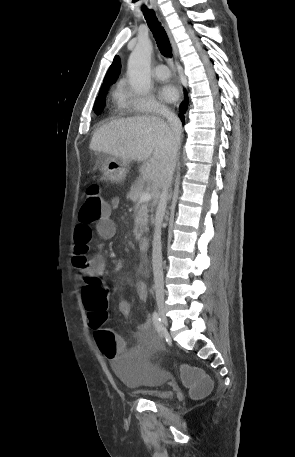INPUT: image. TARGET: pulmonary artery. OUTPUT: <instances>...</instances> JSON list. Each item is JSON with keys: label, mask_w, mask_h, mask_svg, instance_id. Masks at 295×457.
I'll return each instance as SVG.
<instances>
[{"label": "pulmonary artery", "mask_w": 295, "mask_h": 457, "mask_svg": "<svg viewBox=\"0 0 295 457\" xmlns=\"http://www.w3.org/2000/svg\"><path fill=\"white\" fill-rule=\"evenodd\" d=\"M153 75L158 80H166L170 77V72L167 66L159 64L154 68Z\"/></svg>", "instance_id": "1"}]
</instances>
